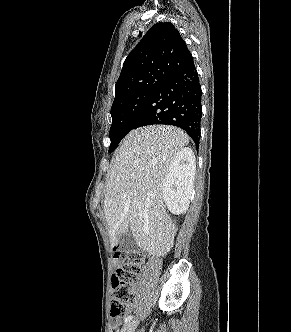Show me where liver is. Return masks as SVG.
Returning a JSON list of instances; mask_svg holds the SVG:
<instances>
[{
    "instance_id": "liver-1",
    "label": "liver",
    "mask_w": 291,
    "mask_h": 332,
    "mask_svg": "<svg viewBox=\"0 0 291 332\" xmlns=\"http://www.w3.org/2000/svg\"><path fill=\"white\" fill-rule=\"evenodd\" d=\"M189 137L179 128L151 125L131 131L115 152L107 181L104 215L112 247L132 232L136 244L152 256H165L176 226L166 212L163 184L176 153Z\"/></svg>"
}]
</instances>
